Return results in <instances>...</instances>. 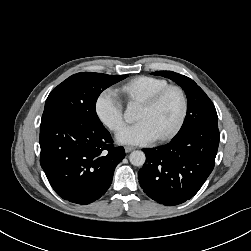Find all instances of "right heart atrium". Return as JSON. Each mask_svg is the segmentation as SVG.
<instances>
[{"mask_svg":"<svg viewBox=\"0 0 251 251\" xmlns=\"http://www.w3.org/2000/svg\"><path fill=\"white\" fill-rule=\"evenodd\" d=\"M95 112L99 120L112 131H118L124 123L123 103L118 93L107 88L95 100Z\"/></svg>","mask_w":251,"mask_h":251,"instance_id":"1","label":"right heart atrium"}]
</instances>
